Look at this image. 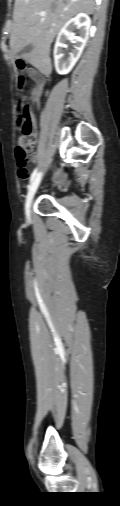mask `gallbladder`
Masks as SVG:
<instances>
[{"instance_id":"1","label":"gallbladder","mask_w":120,"mask_h":506,"mask_svg":"<svg viewBox=\"0 0 120 506\" xmlns=\"http://www.w3.org/2000/svg\"><path fill=\"white\" fill-rule=\"evenodd\" d=\"M32 50H33V46H32L31 44H29V45H27V46L23 49L22 53L29 54Z\"/></svg>"}]
</instances>
